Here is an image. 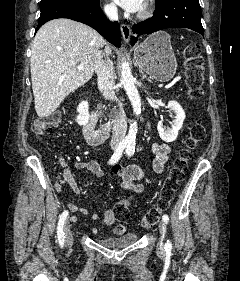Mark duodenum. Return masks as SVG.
Returning a JSON list of instances; mask_svg holds the SVG:
<instances>
[{
  "instance_id": "duodenum-1",
  "label": "duodenum",
  "mask_w": 240,
  "mask_h": 281,
  "mask_svg": "<svg viewBox=\"0 0 240 281\" xmlns=\"http://www.w3.org/2000/svg\"><path fill=\"white\" fill-rule=\"evenodd\" d=\"M110 130L109 124L97 126L95 118L89 114L83 127V135L89 144H99L108 138Z\"/></svg>"
}]
</instances>
